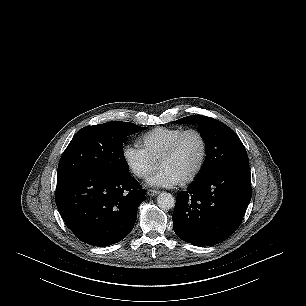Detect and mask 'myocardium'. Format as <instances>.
Instances as JSON below:
<instances>
[{
  "instance_id": "myocardium-1",
  "label": "myocardium",
  "mask_w": 306,
  "mask_h": 306,
  "mask_svg": "<svg viewBox=\"0 0 306 306\" xmlns=\"http://www.w3.org/2000/svg\"><path fill=\"white\" fill-rule=\"evenodd\" d=\"M191 133H193V134H195L199 137V139L201 141V144H202V154H201V158H200V161H199L197 167L194 169V171L190 175H188L187 177H185L184 179L181 180L182 183H189V182H192L193 180H195L204 168V165H205L206 159H207V155H208V144H207V140H206L204 134L201 131H199L198 129H194V128L183 130L174 139V141L171 143V145L168 147V149L165 151V153L162 155V157L159 160V164H161L165 160L171 158L176 153V151L178 150V147H179L180 143L182 142V140L184 139V137L188 134H191Z\"/></svg>"
}]
</instances>
